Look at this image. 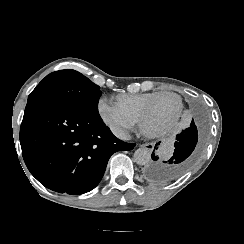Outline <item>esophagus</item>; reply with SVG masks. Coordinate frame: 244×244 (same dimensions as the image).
Listing matches in <instances>:
<instances>
[{
	"instance_id": "1",
	"label": "esophagus",
	"mask_w": 244,
	"mask_h": 244,
	"mask_svg": "<svg viewBox=\"0 0 244 244\" xmlns=\"http://www.w3.org/2000/svg\"><path fill=\"white\" fill-rule=\"evenodd\" d=\"M142 148L148 150L149 152H152L154 149V143H144L142 145H140Z\"/></svg>"
}]
</instances>
